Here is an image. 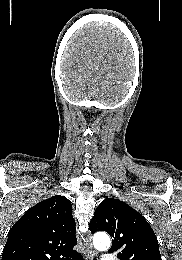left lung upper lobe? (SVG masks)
I'll return each instance as SVG.
<instances>
[{
	"label": "left lung upper lobe",
	"instance_id": "obj_1",
	"mask_svg": "<svg viewBox=\"0 0 182 260\" xmlns=\"http://www.w3.org/2000/svg\"><path fill=\"white\" fill-rule=\"evenodd\" d=\"M91 232L106 231L113 238L109 253L120 260H162L154 231L146 219L128 204L106 198L90 221Z\"/></svg>",
	"mask_w": 182,
	"mask_h": 260
}]
</instances>
